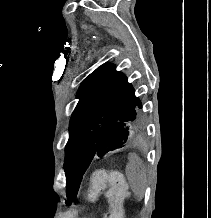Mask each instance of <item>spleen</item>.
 I'll use <instances>...</instances> for the list:
<instances>
[{"label": "spleen", "mask_w": 211, "mask_h": 218, "mask_svg": "<svg viewBox=\"0 0 211 218\" xmlns=\"http://www.w3.org/2000/svg\"><path fill=\"white\" fill-rule=\"evenodd\" d=\"M126 176L132 192H134L140 202L144 198L147 176L144 164L137 154H130L129 162L126 166Z\"/></svg>", "instance_id": "obj_1"}]
</instances>
